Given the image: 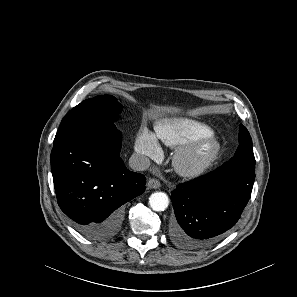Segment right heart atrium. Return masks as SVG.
<instances>
[{"label":"right heart atrium","instance_id":"obj_1","mask_svg":"<svg viewBox=\"0 0 297 297\" xmlns=\"http://www.w3.org/2000/svg\"><path fill=\"white\" fill-rule=\"evenodd\" d=\"M135 150L146 161L158 159L161 156V149L156 137L145 128L137 135Z\"/></svg>","mask_w":297,"mask_h":297}]
</instances>
